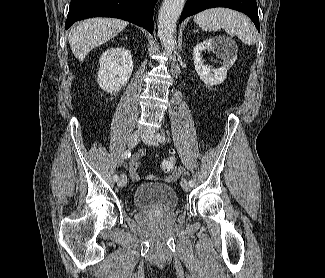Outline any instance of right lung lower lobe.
Returning <instances> with one entry per match:
<instances>
[{
  "instance_id": "1",
  "label": "right lung lower lobe",
  "mask_w": 325,
  "mask_h": 278,
  "mask_svg": "<svg viewBox=\"0 0 325 278\" xmlns=\"http://www.w3.org/2000/svg\"><path fill=\"white\" fill-rule=\"evenodd\" d=\"M156 2L157 0H72L65 29L78 20L105 16L132 22L153 33Z\"/></svg>"
}]
</instances>
